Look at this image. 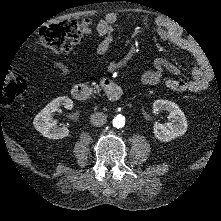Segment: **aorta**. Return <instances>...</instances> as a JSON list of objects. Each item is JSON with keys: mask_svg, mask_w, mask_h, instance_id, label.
I'll use <instances>...</instances> for the list:
<instances>
[{"mask_svg": "<svg viewBox=\"0 0 221 221\" xmlns=\"http://www.w3.org/2000/svg\"><path fill=\"white\" fill-rule=\"evenodd\" d=\"M112 123L115 128H122L125 125V117L123 115H117L114 117Z\"/></svg>", "mask_w": 221, "mask_h": 221, "instance_id": "aorta-1", "label": "aorta"}]
</instances>
